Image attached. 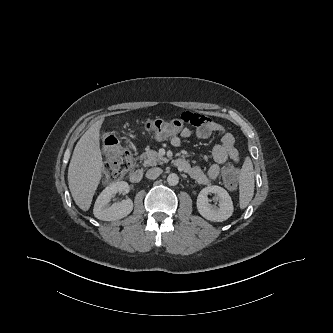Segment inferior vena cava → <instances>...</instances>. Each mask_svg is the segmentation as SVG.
<instances>
[{"mask_svg":"<svg viewBox=\"0 0 333 333\" xmlns=\"http://www.w3.org/2000/svg\"><path fill=\"white\" fill-rule=\"evenodd\" d=\"M162 173V169L161 168H151L147 171L146 173V177L148 179H156L160 174Z\"/></svg>","mask_w":333,"mask_h":333,"instance_id":"1","label":"inferior vena cava"}]
</instances>
